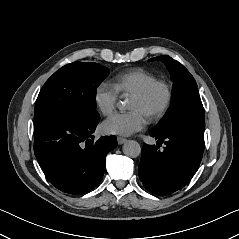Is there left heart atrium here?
<instances>
[{"mask_svg": "<svg viewBox=\"0 0 239 239\" xmlns=\"http://www.w3.org/2000/svg\"><path fill=\"white\" fill-rule=\"evenodd\" d=\"M143 124L142 114L135 109H131L110 117L106 122V128L110 132L130 134L139 130Z\"/></svg>", "mask_w": 239, "mask_h": 239, "instance_id": "obj_1", "label": "left heart atrium"}]
</instances>
